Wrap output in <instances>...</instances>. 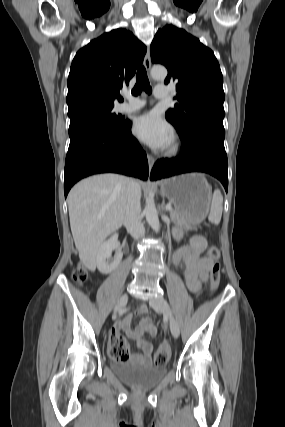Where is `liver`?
I'll return each mask as SVG.
<instances>
[{"label": "liver", "mask_w": 285, "mask_h": 427, "mask_svg": "<svg viewBox=\"0 0 285 427\" xmlns=\"http://www.w3.org/2000/svg\"><path fill=\"white\" fill-rule=\"evenodd\" d=\"M129 179L117 174L89 177L68 194L70 226L81 262L95 269L102 242L125 218Z\"/></svg>", "instance_id": "liver-1"}]
</instances>
